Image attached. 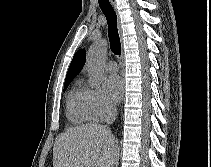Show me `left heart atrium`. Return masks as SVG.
Returning <instances> with one entry per match:
<instances>
[{
	"label": "left heart atrium",
	"instance_id": "1",
	"mask_svg": "<svg viewBox=\"0 0 211 167\" xmlns=\"http://www.w3.org/2000/svg\"><path fill=\"white\" fill-rule=\"evenodd\" d=\"M123 81L118 76H109L104 80V91L110 103L116 104L122 97Z\"/></svg>",
	"mask_w": 211,
	"mask_h": 167
}]
</instances>
